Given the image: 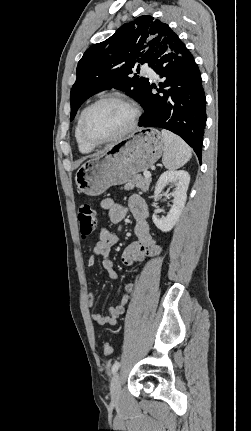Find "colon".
<instances>
[{
	"label": "colon",
	"mask_w": 251,
	"mask_h": 431,
	"mask_svg": "<svg viewBox=\"0 0 251 431\" xmlns=\"http://www.w3.org/2000/svg\"><path fill=\"white\" fill-rule=\"evenodd\" d=\"M77 217L81 237L83 239L90 237L96 228V214L94 209L90 204L83 203L79 206ZM103 353L106 356L112 354V347L107 342L103 344Z\"/></svg>",
	"instance_id": "5ec220e1"
}]
</instances>
